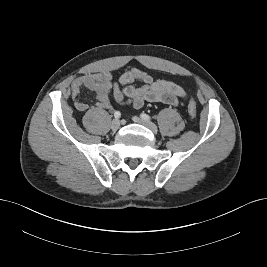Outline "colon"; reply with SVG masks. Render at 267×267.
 <instances>
[{
  "instance_id": "5ec220e1",
  "label": "colon",
  "mask_w": 267,
  "mask_h": 267,
  "mask_svg": "<svg viewBox=\"0 0 267 267\" xmlns=\"http://www.w3.org/2000/svg\"><path fill=\"white\" fill-rule=\"evenodd\" d=\"M188 114L191 118H195L197 115V108H196V103L193 99H190L188 102Z\"/></svg>"
}]
</instances>
